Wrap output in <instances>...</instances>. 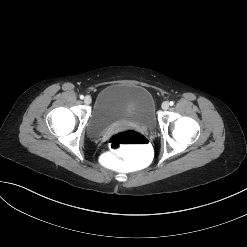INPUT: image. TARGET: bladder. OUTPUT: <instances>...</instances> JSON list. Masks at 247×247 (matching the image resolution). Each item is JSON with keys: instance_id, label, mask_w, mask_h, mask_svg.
Masks as SVG:
<instances>
[{"instance_id": "obj_1", "label": "bladder", "mask_w": 247, "mask_h": 247, "mask_svg": "<svg viewBox=\"0 0 247 247\" xmlns=\"http://www.w3.org/2000/svg\"><path fill=\"white\" fill-rule=\"evenodd\" d=\"M118 123L146 129L156 125L154 99L146 88L131 84H113L99 93L88 120V133L100 134Z\"/></svg>"}]
</instances>
